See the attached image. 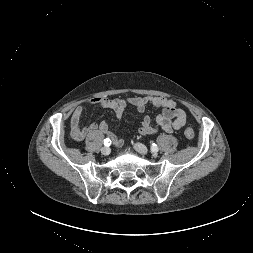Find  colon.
I'll use <instances>...</instances> for the list:
<instances>
[{
    "instance_id": "colon-1",
    "label": "colon",
    "mask_w": 253,
    "mask_h": 253,
    "mask_svg": "<svg viewBox=\"0 0 253 253\" xmlns=\"http://www.w3.org/2000/svg\"><path fill=\"white\" fill-rule=\"evenodd\" d=\"M184 135L187 139L192 140L195 138V133L192 128H186L184 131Z\"/></svg>"
}]
</instances>
